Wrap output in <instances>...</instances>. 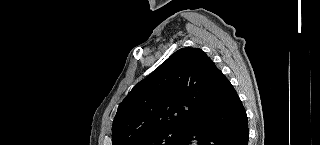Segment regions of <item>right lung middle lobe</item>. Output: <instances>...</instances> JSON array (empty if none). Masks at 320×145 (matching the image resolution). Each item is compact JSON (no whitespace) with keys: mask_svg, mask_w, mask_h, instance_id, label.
I'll list each match as a JSON object with an SVG mask.
<instances>
[{"mask_svg":"<svg viewBox=\"0 0 320 145\" xmlns=\"http://www.w3.org/2000/svg\"><path fill=\"white\" fill-rule=\"evenodd\" d=\"M185 128H167L150 133L131 145H174L183 135Z\"/></svg>","mask_w":320,"mask_h":145,"instance_id":"dd1d6c3e","label":"right lung middle lobe"}]
</instances>
